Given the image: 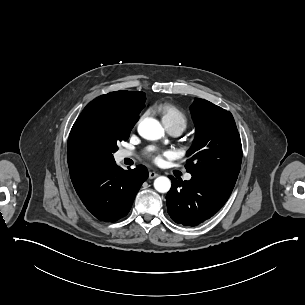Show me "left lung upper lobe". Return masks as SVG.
Returning <instances> with one entry per match:
<instances>
[{"mask_svg": "<svg viewBox=\"0 0 305 305\" xmlns=\"http://www.w3.org/2000/svg\"><path fill=\"white\" fill-rule=\"evenodd\" d=\"M196 136L187 152V172L192 176L236 182L242 145L232 114L204 99L190 108Z\"/></svg>", "mask_w": 305, "mask_h": 305, "instance_id": "obj_1", "label": "left lung upper lobe"}]
</instances>
